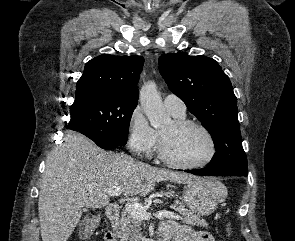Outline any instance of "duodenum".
Here are the masks:
<instances>
[{
	"mask_svg": "<svg viewBox=\"0 0 295 241\" xmlns=\"http://www.w3.org/2000/svg\"><path fill=\"white\" fill-rule=\"evenodd\" d=\"M107 216L110 219H117L120 216V206L116 203L110 204L107 207ZM167 236L160 234L156 241H167Z\"/></svg>",
	"mask_w": 295,
	"mask_h": 241,
	"instance_id": "obj_1",
	"label": "duodenum"
}]
</instances>
